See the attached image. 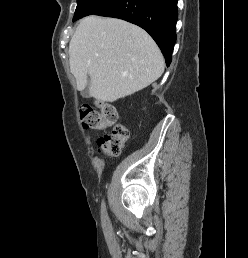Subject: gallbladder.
I'll use <instances>...</instances> for the list:
<instances>
[{
	"label": "gallbladder",
	"mask_w": 248,
	"mask_h": 258,
	"mask_svg": "<svg viewBox=\"0 0 248 258\" xmlns=\"http://www.w3.org/2000/svg\"><path fill=\"white\" fill-rule=\"evenodd\" d=\"M90 83H91V77L88 76L87 77V84H86V87L85 89L82 91V95L84 97H89V86H90Z\"/></svg>",
	"instance_id": "obj_1"
}]
</instances>
